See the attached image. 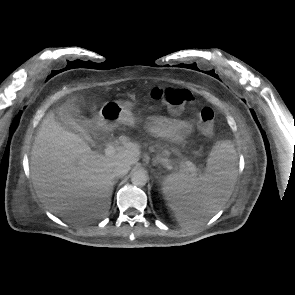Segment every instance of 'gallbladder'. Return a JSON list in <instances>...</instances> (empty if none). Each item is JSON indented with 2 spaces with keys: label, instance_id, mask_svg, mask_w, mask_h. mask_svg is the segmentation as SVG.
Segmentation results:
<instances>
[{
  "label": "gallbladder",
  "instance_id": "gallbladder-1",
  "mask_svg": "<svg viewBox=\"0 0 295 295\" xmlns=\"http://www.w3.org/2000/svg\"><path fill=\"white\" fill-rule=\"evenodd\" d=\"M56 121L66 130L78 133V124L83 123V118L80 113L70 106H59L55 110Z\"/></svg>",
  "mask_w": 295,
  "mask_h": 295
}]
</instances>
